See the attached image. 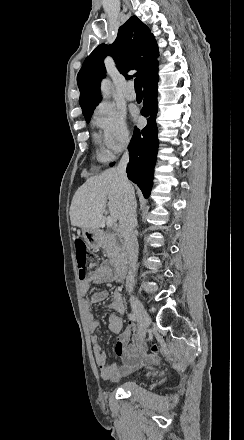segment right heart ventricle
I'll return each instance as SVG.
<instances>
[{
    "label": "right heart ventricle",
    "instance_id": "right-heart-ventricle-1",
    "mask_svg": "<svg viewBox=\"0 0 244 440\" xmlns=\"http://www.w3.org/2000/svg\"><path fill=\"white\" fill-rule=\"evenodd\" d=\"M94 141H95V143H97V144H100V143H101V137H100L99 134L94 133Z\"/></svg>",
    "mask_w": 244,
    "mask_h": 440
}]
</instances>
